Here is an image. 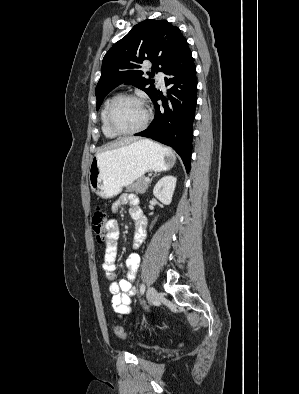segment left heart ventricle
Masks as SVG:
<instances>
[{
    "mask_svg": "<svg viewBox=\"0 0 299 394\" xmlns=\"http://www.w3.org/2000/svg\"><path fill=\"white\" fill-rule=\"evenodd\" d=\"M145 118L144 106L132 99L121 100L112 113L113 125L122 131L138 127Z\"/></svg>",
    "mask_w": 299,
    "mask_h": 394,
    "instance_id": "b2bd125f",
    "label": "left heart ventricle"
}]
</instances>
